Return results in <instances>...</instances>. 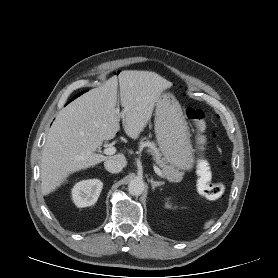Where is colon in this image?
Listing matches in <instances>:
<instances>
[{
    "instance_id": "colon-1",
    "label": "colon",
    "mask_w": 278,
    "mask_h": 278,
    "mask_svg": "<svg viewBox=\"0 0 278 278\" xmlns=\"http://www.w3.org/2000/svg\"><path fill=\"white\" fill-rule=\"evenodd\" d=\"M187 117L193 121L199 134L197 137V145L200 151L205 147L206 137L204 131L206 128L205 113L195 107H189L186 110ZM200 190L204 196L210 199H218L223 196L225 185L222 182H211L209 179V168L206 164L199 165Z\"/></svg>"
}]
</instances>
